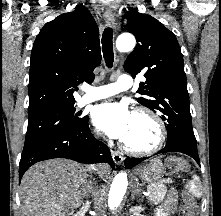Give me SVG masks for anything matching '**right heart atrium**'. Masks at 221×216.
I'll use <instances>...</instances> for the list:
<instances>
[{"instance_id": "d8ad5b80", "label": "right heart atrium", "mask_w": 221, "mask_h": 216, "mask_svg": "<svg viewBox=\"0 0 221 216\" xmlns=\"http://www.w3.org/2000/svg\"><path fill=\"white\" fill-rule=\"evenodd\" d=\"M93 136H94L95 138H98V137L100 136L99 131L96 130V129H94V130H93Z\"/></svg>"}]
</instances>
